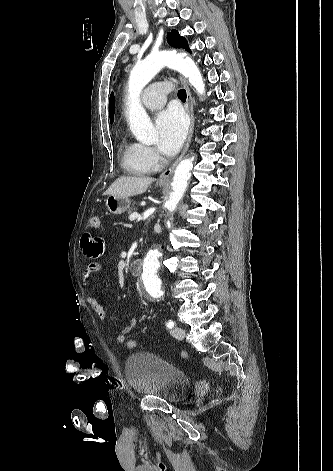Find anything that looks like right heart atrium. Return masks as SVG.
<instances>
[{"mask_svg": "<svg viewBox=\"0 0 333 471\" xmlns=\"http://www.w3.org/2000/svg\"><path fill=\"white\" fill-rule=\"evenodd\" d=\"M139 151L143 162L151 169H154L159 165L161 158L152 147L139 144Z\"/></svg>", "mask_w": 333, "mask_h": 471, "instance_id": "obj_1", "label": "right heart atrium"}]
</instances>
